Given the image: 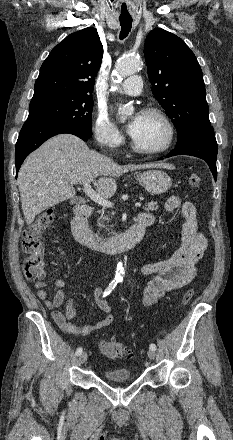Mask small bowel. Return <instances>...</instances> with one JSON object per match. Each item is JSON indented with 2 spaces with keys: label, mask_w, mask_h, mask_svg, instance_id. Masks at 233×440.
<instances>
[{
  "label": "small bowel",
  "mask_w": 233,
  "mask_h": 440,
  "mask_svg": "<svg viewBox=\"0 0 233 440\" xmlns=\"http://www.w3.org/2000/svg\"><path fill=\"white\" fill-rule=\"evenodd\" d=\"M165 209L168 212L180 211L185 220L182 228V244L170 257L146 263L141 267V275L150 277L143 294V303L146 306L157 302L166 292L188 284L196 275L197 264L207 248V239L199 230L196 208L191 201L184 200L177 195L171 196L166 201ZM140 216L154 221V216L150 213H141L138 217ZM54 285L57 291L52 299H48L45 281L38 279L35 283L37 296L51 310L55 323L64 333L89 335L113 322L111 307L103 297L102 288L96 289L95 297L97 306L106 316L94 324L80 327L73 323L76 317V305L73 299H66L64 291L66 281L57 279ZM62 305H65V312L59 310Z\"/></svg>",
  "instance_id": "1"
}]
</instances>
